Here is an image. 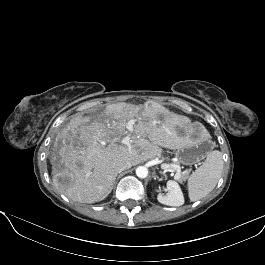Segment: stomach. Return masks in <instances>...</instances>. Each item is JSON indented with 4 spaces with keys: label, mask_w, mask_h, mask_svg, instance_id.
I'll return each mask as SVG.
<instances>
[{
    "label": "stomach",
    "mask_w": 265,
    "mask_h": 265,
    "mask_svg": "<svg viewBox=\"0 0 265 265\" xmlns=\"http://www.w3.org/2000/svg\"><path fill=\"white\" fill-rule=\"evenodd\" d=\"M211 148L212 143L208 139L202 136L191 138L189 135V142L187 145L177 150L176 157L180 163L192 165L206 157Z\"/></svg>",
    "instance_id": "stomach-1"
}]
</instances>
